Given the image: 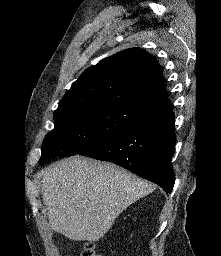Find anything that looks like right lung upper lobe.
Listing matches in <instances>:
<instances>
[{
    "label": "right lung upper lobe",
    "mask_w": 221,
    "mask_h": 256,
    "mask_svg": "<svg viewBox=\"0 0 221 256\" xmlns=\"http://www.w3.org/2000/svg\"><path fill=\"white\" fill-rule=\"evenodd\" d=\"M157 61L139 48L101 60L75 81L55 112L113 105L143 115V120L171 111Z\"/></svg>",
    "instance_id": "cb5924a9"
}]
</instances>
